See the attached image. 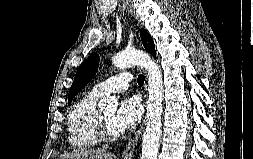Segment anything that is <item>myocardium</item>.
<instances>
[{
	"label": "myocardium",
	"mask_w": 253,
	"mask_h": 159,
	"mask_svg": "<svg viewBox=\"0 0 253 159\" xmlns=\"http://www.w3.org/2000/svg\"><path fill=\"white\" fill-rule=\"evenodd\" d=\"M96 133L100 142H114L119 138L118 133L109 130L101 112L97 116Z\"/></svg>",
	"instance_id": "1"
}]
</instances>
